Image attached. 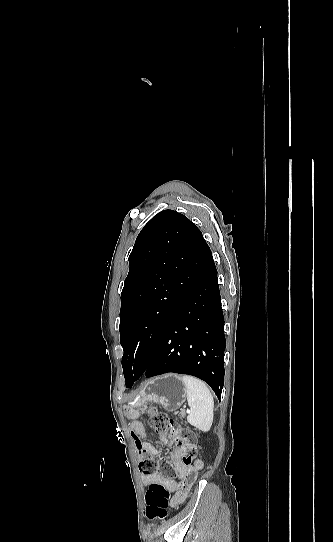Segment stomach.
Returning a JSON list of instances; mask_svg holds the SVG:
<instances>
[{
  "instance_id": "1",
  "label": "stomach",
  "mask_w": 333,
  "mask_h": 542,
  "mask_svg": "<svg viewBox=\"0 0 333 542\" xmlns=\"http://www.w3.org/2000/svg\"><path fill=\"white\" fill-rule=\"evenodd\" d=\"M148 402L160 404L167 412L179 410L186 402V390L180 376L166 374V376L151 378L136 398L131 400V406L140 408V406H146Z\"/></svg>"
}]
</instances>
